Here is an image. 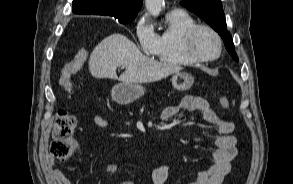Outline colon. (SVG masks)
Segmentation results:
<instances>
[{
  "instance_id": "5ec220e1",
  "label": "colon",
  "mask_w": 293,
  "mask_h": 184,
  "mask_svg": "<svg viewBox=\"0 0 293 184\" xmlns=\"http://www.w3.org/2000/svg\"><path fill=\"white\" fill-rule=\"evenodd\" d=\"M87 57L88 51L82 49L64 66L60 82L67 91L71 90V75L83 67ZM219 104L224 109L230 108V101L225 96L219 97ZM76 127L77 121L74 115L66 108L58 109L52 129L53 141L50 146L51 160L66 161L71 156L74 150L72 136Z\"/></svg>"
}]
</instances>
